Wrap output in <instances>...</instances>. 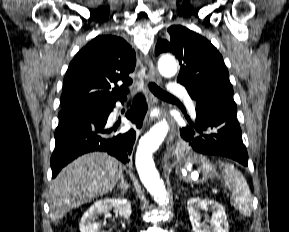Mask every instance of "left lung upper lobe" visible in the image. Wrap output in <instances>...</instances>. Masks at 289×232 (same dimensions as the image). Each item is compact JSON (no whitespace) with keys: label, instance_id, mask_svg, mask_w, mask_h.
<instances>
[{"label":"left lung upper lobe","instance_id":"1","mask_svg":"<svg viewBox=\"0 0 289 232\" xmlns=\"http://www.w3.org/2000/svg\"><path fill=\"white\" fill-rule=\"evenodd\" d=\"M155 54L170 52L181 64L177 82L184 85L196 103H207L237 113L233 87L221 54L206 38L180 25L168 28Z\"/></svg>","mask_w":289,"mask_h":232}]
</instances>
